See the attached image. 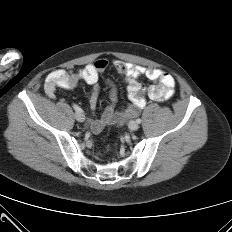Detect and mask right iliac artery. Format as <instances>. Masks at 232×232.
Returning <instances> with one entry per match:
<instances>
[{
    "label": "right iliac artery",
    "mask_w": 232,
    "mask_h": 232,
    "mask_svg": "<svg viewBox=\"0 0 232 232\" xmlns=\"http://www.w3.org/2000/svg\"><path fill=\"white\" fill-rule=\"evenodd\" d=\"M73 108L76 112L83 113V110L79 106H77L76 104H73Z\"/></svg>",
    "instance_id": "obj_1"
}]
</instances>
